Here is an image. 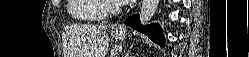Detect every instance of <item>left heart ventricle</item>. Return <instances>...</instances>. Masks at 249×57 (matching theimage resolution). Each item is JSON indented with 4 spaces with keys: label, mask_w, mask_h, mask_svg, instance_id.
Masks as SVG:
<instances>
[{
    "label": "left heart ventricle",
    "mask_w": 249,
    "mask_h": 57,
    "mask_svg": "<svg viewBox=\"0 0 249 57\" xmlns=\"http://www.w3.org/2000/svg\"><path fill=\"white\" fill-rule=\"evenodd\" d=\"M113 4L117 3L116 1H112Z\"/></svg>",
    "instance_id": "b2bd125f"
}]
</instances>
